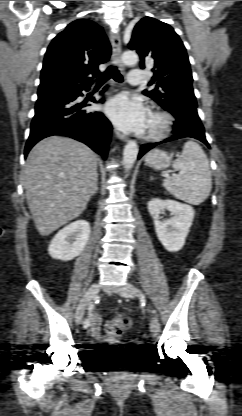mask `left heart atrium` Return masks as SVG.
Segmentation results:
<instances>
[{
  "label": "left heart atrium",
  "mask_w": 242,
  "mask_h": 416,
  "mask_svg": "<svg viewBox=\"0 0 242 416\" xmlns=\"http://www.w3.org/2000/svg\"><path fill=\"white\" fill-rule=\"evenodd\" d=\"M105 112L113 123L126 132L141 133L145 130L149 112L139 99L119 94L110 99Z\"/></svg>",
  "instance_id": "1"
}]
</instances>
